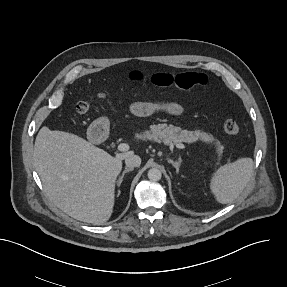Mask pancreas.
I'll return each mask as SVG.
<instances>
[{
    "label": "pancreas",
    "instance_id": "1",
    "mask_svg": "<svg viewBox=\"0 0 287 287\" xmlns=\"http://www.w3.org/2000/svg\"><path fill=\"white\" fill-rule=\"evenodd\" d=\"M144 139L153 141H163L165 144L172 143H194L196 141H201L205 144H215L216 153L220 155L222 153L223 147L219 142L214 143L215 138L213 135L201 132L199 130L189 131L182 130L180 127L167 124L152 125L150 131H146L143 134Z\"/></svg>",
    "mask_w": 287,
    "mask_h": 287
}]
</instances>
